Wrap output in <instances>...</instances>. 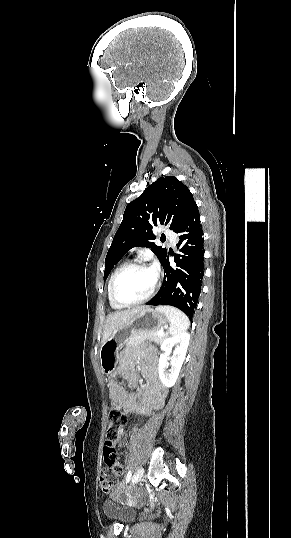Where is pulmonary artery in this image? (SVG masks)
Wrapping results in <instances>:
<instances>
[{"label":"pulmonary artery","instance_id":"pulmonary-artery-1","mask_svg":"<svg viewBox=\"0 0 291 538\" xmlns=\"http://www.w3.org/2000/svg\"><path fill=\"white\" fill-rule=\"evenodd\" d=\"M164 235L166 236V238L169 240V242L174 245L176 243V240H177V236L174 232L170 231V230H166L164 232Z\"/></svg>","mask_w":291,"mask_h":538}]
</instances>
